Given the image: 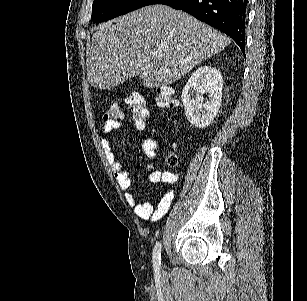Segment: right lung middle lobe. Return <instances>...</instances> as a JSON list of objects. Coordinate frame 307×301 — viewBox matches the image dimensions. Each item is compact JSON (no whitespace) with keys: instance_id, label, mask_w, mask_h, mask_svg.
<instances>
[{"instance_id":"right-lung-middle-lobe-1","label":"right lung middle lobe","mask_w":307,"mask_h":301,"mask_svg":"<svg viewBox=\"0 0 307 301\" xmlns=\"http://www.w3.org/2000/svg\"><path fill=\"white\" fill-rule=\"evenodd\" d=\"M150 0H94L92 7L93 23L98 24L130 11L146 6Z\"/></svg>"}]
</instances>
